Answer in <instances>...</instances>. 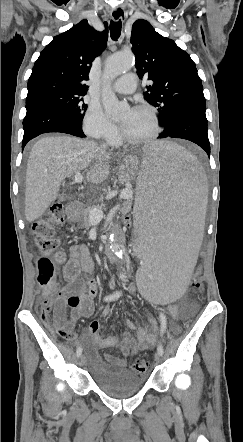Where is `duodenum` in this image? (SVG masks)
Segmentation results:
<instances>
[{
  "label": "duodenum",
  "instance_id": "1",
  "mask_svg": "<svg viewBox=\"0 0 243 442\" xmlns=\"http://www.w3.org/2000/svg\"><path fill=\"white\" fill-rule=\"evenodd\" d=\"M70 208H71V212L76 213L77 209H78L77 201H73ZM123 237H124L123 233L120 232L118 234V240L120 241ZM118 251H120V247L118 246V244L110 243L108 245V247L106 248V250H105L106 257L108 259H114L115 258V254Z\"/></svg>",
  "mask_w": 243,
  "mask_h": 442
}]
</instances>
